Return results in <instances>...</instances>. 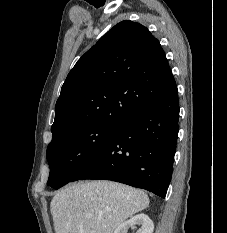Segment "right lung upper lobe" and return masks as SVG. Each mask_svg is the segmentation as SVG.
<instances>
[{"label": "right lung upper lobe", "mask_w": 227, "mask_h": 233, "mask_svg": "<svg viewBox=\"0 0 227 233\" xmlns=\"http://www.w3.org/2000/svg\"><path fill=\"white\" fill-rule=\"evenodd\" d=\"M176 86L159 41L122 21L69 72L55 107L53 137L89 124H121Z\"/></svg>", "instance_id": "cb5924a9"}]
</instances>
